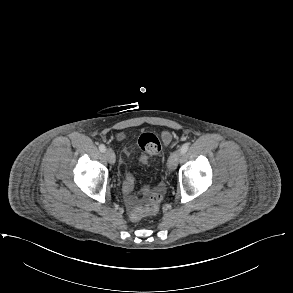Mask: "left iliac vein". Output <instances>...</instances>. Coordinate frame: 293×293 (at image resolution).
I'll use <instances>...</instances> for the list:
<instances>
[{
    "label": "left iliac vein",
    "mask_w": 293,
    "mask_h": 293,
    "mask_svg": "<svg viewBox=\"0 0 293 293\" xmlns=\"http://www.w3.org/2000/svg\"><path fill=\"white\" fill-rule=\"evenodd\" d=\"M180 157H181V152L179 150H176L171 153L167 162V167L170 171H173L177 167Z\"/></svg>",
    "instance_id": "left-iliac-vein-1"
}]
</instances>
